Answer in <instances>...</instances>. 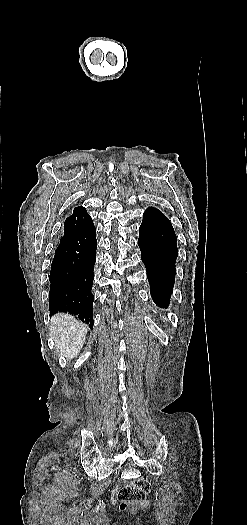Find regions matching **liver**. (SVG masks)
<instances>
[{
	"label": "liver",
	"mask_w": 247,
	"mask_h": 525,
	"mask_svg": "<svg viewBox=\"0 0 247 525\" xmlns=\"http://www.w3.org/2000/svg\"><path fill=\"white\" fill-rule=\"evenodd\" d=\"M89 327L76 321L72 315L57 313L50 321L49 333L56 353H59V363L64 367L72 359L78 357L86 339Z\"/></svg>",
	"instance_id": "6515ba94"
}]
</instances>
